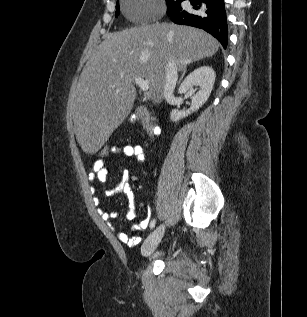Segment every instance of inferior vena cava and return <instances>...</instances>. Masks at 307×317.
<instances>
[{
	"instance_id": "1",
	"label": "inferior vena cava",
	"mask_w": 307,
	"mask_h": 317,
	"mask_svg": "<svg viewBox=\"0 0 307 317\" xmlns=\"http://www.w3.org/2000/svg\"><path fill=\"white\" fill-rule=\"evenodd\" d=\"M177 80V64L173 58H170L166 66V78L163 92V96L167 102H171L174 98L173 93L176 87Z\"/></svg>"
}]
</instances>
